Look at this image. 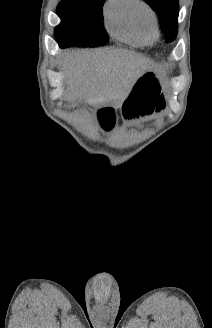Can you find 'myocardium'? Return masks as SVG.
<instances>
[{"instance_id": "f54148a6", "label": "myocardium", "mask_w": 212, "mask_h": 328, "mask_svg": "<svg viewBox=\"0 0 212 328\" xmlns=\"http://www.w3.org/2000/svg\"><path fill=\"white\" fill-rule=\"evenodd\" d=\"M136 16L143 29L158 32L156 13L148 4L140 1Z\"/></svg>"}]
</instances>
